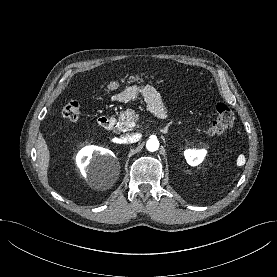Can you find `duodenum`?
<instances>
[{
  "label": "duodenum",
  "mask_w": 277,
  "mask_h": 277,
  "mask_svg": "<svg viewBox=\"0 0 277 277\" xmlns=\"http://www.w3.org/2000/svg\"><path fill=\"white\" fill-rule=\"evenodd\" d=\"M98 124L104 128V129H107V130H110L112 129L113 125H114V120L113 118L109 117V116H101L99 119H98Z\"/></svg>",
  "instance_id": "duodenum-1"
}]
</instances>
